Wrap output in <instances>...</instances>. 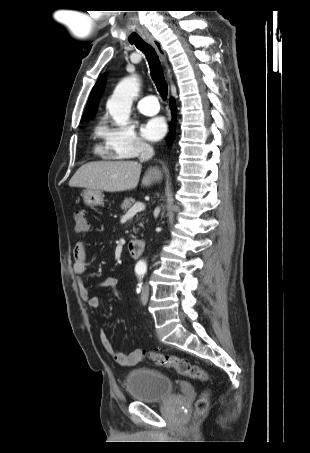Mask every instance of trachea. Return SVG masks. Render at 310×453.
Instances as JSON below:
<instances>
[{
	"mask_svg": "<svg viewBox=\"0 0 310 453\" xmlns=\"http://www.w3.org/2000/svg\"><path fill=\"white\" fill-rule=\"evenodd\" d=\"M131 44H134L137 49L145 54L149 64L151 77L156 85L158 92L165 99L168 94V85L165 80L163 68L156 51L150 44L146 43L143 40L133 41L131 42Z\"/></svg>",
	"mask_w": 310,
	"mask_h": 453,
	"instance_id": "obj_1",
	"label": "trachea"
}]
</instances>
